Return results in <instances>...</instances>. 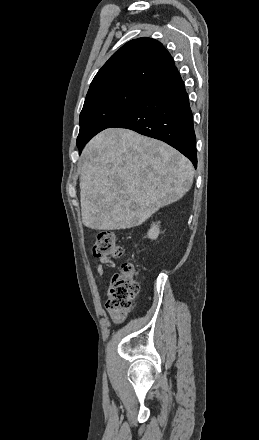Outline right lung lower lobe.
<instances>
[{
  "label": "right lung lower lobe",
  "instance_id": "right-lung-lower-lobe-1",
  "mask_svg": "<svg viewBox=\"0 0 259 440\" xmlns=\"http://www.w3.org/2000/svg\"><path fill=\"white\" fill-rule=\"evenodd\" d=\"M109 128H127L164 141L197 167L193 116L184 82L176 67Z\"/></svg>",
  "mask_w": 259,
  "mask_h": 440
}]
</instances>
